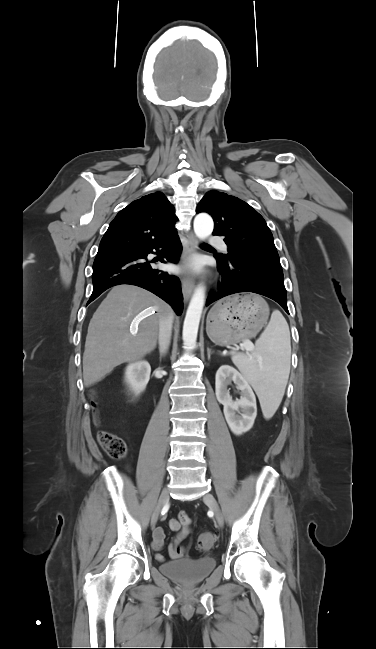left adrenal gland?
<instances>
[{
  "mask_svg": "<svg viewBox=\"0 0 376 649\" xmlns=\"http://www.w3.org/2000/svg\"><path fill=\"white\" fill-rule=\"evenodd\" d=\"M207 356H208V360H210V357H211V349L210 348H207Z\"/></svg>",
  "mask_w": 376,
  "mask_h": 649,
  "instance_id": "1",
  "label": "left adrenal gland"
}]
</instances>
